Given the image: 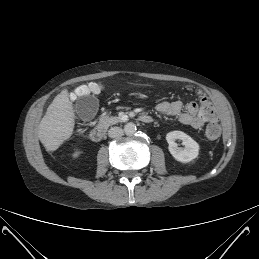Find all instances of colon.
Masks as SVG:
<instances>
[{
    "instance_id": "colon-1",
    "label": "colon",
    "mask_w": 259,
    "mask_h": 259,
    "mask_svg": "<svg viewBox=\"0 0 259 259\" xmlns=\"http://www.w3.org/2000/svg\"><path fill=\"white\" fill-rule=\"evenodd\" d=\"M102 90V85L98 82H92L87 85H80L75 88L74 92L78 96H85L90 93H98ZM194 96L195 97H202V110L205 113V116L208 120L211 122L206 126L205 129V136L208 140H216L219 138L221 134V127L220 125L215 121L220 116V111L217 107L212 106L210 102L207 100L206 97L203 95V89L202 88H195L194 89Z\"/></svg>"
}]
</instances>
